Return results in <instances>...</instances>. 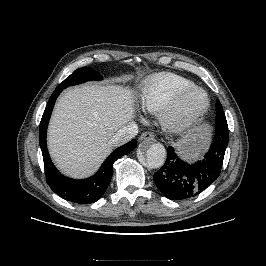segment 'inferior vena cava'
Instances as JSON below:
<instances>
[{"label":"inferior vena cava","mask_w":266,"mask_h":266,"mask_svg":"<svg viewBox=\"0 0 266 266\" xmlns=\"http://www.w3.org/2000/svg\"><path fill=\"white\" fill-rule=\"evenodd\" d=\"M138 133V126L135 122H130L120 130H118L110 139V143L113 146H120L128 141H130L133 137H135Z\"/></svg>","instance_id":"obj_1"}]
</instances>
